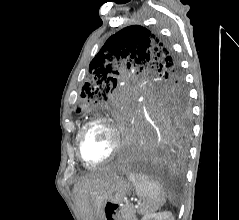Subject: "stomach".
Segmentation results:
<instances>
[{
  "label": "stomach",
  "instance_id": "stomach-1",
  "mask_svg": "<svg viewBox=\"0 0 239 220\" xmlns=\"http://www.w3.org/2000/svg\"><path fill=\"white\" fill-rule=\"evenodd\" d=\"M130 192V183L120 177H113L105 186L90 191L88 202L93 220H123V212H118L122 205L118 204Z\"/></svg>",
  "mask_w": 239,
  "mask_h": 220
}]
</instances>
